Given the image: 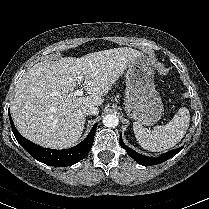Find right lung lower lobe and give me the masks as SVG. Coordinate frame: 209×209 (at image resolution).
Masks as SVG:
<instances>
[{"label": "right lung lower lobe", "mask_w": 209, "mask_h": 209, "mask_svg": "<svg viewBox=\"0 0 209 209\" xmlns=\"http://www.w3.org/2000/svg\"><path fill=\"white\" fill-rule=\"evenodd\" d=\"M9 119L11 121V127L18 143L24 149H26L29 154H31L36 160L56 167L70 166L84 159L93 145L94 135L97 127V124H95L88 136L77 146L64 150H53L40 147L21 136L14 126L10 112Z\"/></svg>", "instance_id": "1"}]
</instances>
